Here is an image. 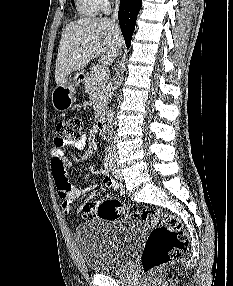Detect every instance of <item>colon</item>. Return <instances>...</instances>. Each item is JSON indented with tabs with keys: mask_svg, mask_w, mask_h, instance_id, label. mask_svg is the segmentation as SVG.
I'll use <instances>...</instances> for the list:
<instances>
[{
	"mask_svg": "<svg viewBox=\"0 0 233 286\" xmlns=\"http://www.w3.org/2000/svg\"><path fill=\"white\" fill-rule=\"evenodd\" d=\"M83 120L74 116L59 122L56 126L57 139L65 142H76L81 138ZM122 204L114 199H106L96 207L99 218L114 220L123 214ZM150 228L141 254V266L145 273L179 257L188 247V236L182 221L175 215L154 209H144L132 213Z\"/></svg>",
	"mask_w": 233,
	"mask_h": 286,
	"instance_id": "5ec220e1",
	"label": "colon"
}]
</instances>
